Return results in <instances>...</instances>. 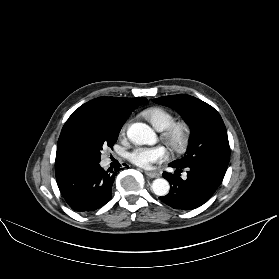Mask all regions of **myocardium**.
<instances>
[{"instance_id": "myocardium-1", "label": "myocardium", "mask_w": 279, "mask_h": 279, "mask_svg": "<svg viewBox=\"0 0 279 279\" xmlns=\"http://www.w3.org/2000/svg\"><path fill=\"white\" fill-rule=\"evenodd\" d=\"M191 136V125L185 120L173 121L162 131L163 140L168 147L177 154L186 151L189 146Z\"/></svg>"}]
</instances>
